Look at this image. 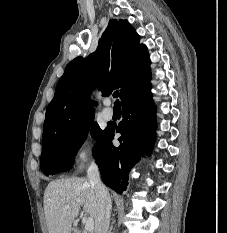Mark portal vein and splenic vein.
I'll return each mask as SVG.
<instances>
[{"label": "portal vein and splenic vein", "mask_w": 227, "mask_h": 233, "mask_svg": "<svg viewBox=\"0 0 227 233\" xmlns=\"http://www.w3.org/2000/svg\"><path fill=\"white\" fill-rule=\"evenodd\" d=\"M68 207H69V205H66L65 209H67ZM84 229L86 231L85 233L90 232L94 229V220L92 217L86 218Z\"/></svg>", "instance_id": "18ae733b"}]
</instances>
